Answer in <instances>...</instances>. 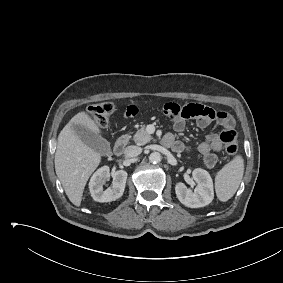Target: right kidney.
Listing matches in <instances>:
<instances>
[{
    "instance_id": "right-kidney-1",
    "label": "right kidney",
    "mask_w": 283,
    "mask_h": 283,
    "mask_svg": "<svg viewBox=\"0 0 283 283\" xmlns=\"http://www.w3.org/2000/svg\"><path fill=\"white\" fill-rule=\"evenodd\" d=\"M110 177V169L108 166L99 168L91 177L89 189L92 198L97 202H110L120 198L125 189L127 172L118 170L112 173L113 184L106 190H103V185Z\"/></svg>"
}]
</instances>
